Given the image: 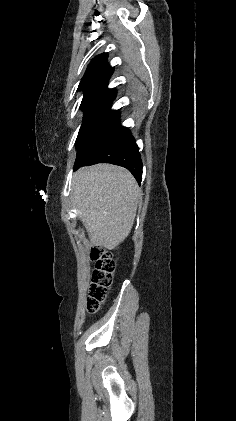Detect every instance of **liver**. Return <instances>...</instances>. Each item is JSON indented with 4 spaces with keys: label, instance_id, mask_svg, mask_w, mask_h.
Listing matches in <instances>:
<instances>
[{
    "label": "liver",
    "instance_id": "6515ba94",
    "mask_svg": "<svg viewBox=\"0 0 236 421\" xmlns=\"http://www.w3.org/2000/svg\"><path fill=\"white\" fill-rule=\"evenodd\" d=\"M73 204L95 247L116 249L136 217L139 186L129 170L115 164L82 166L73 174Z\"/></svg>",
    "mask_w": 236,
    "mask_h": 421
}]
</instances>
